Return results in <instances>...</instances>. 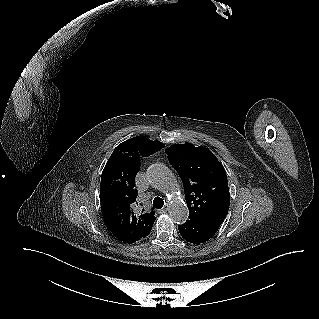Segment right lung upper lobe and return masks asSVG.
I'll return each mask as SVG.
<instances>
[{"label":"right lung upper lobe","instance_id":"1","mask_svg":"<svg viewBox=\"0 0 319 319\" xmlns=\"http://www.w3.org/2000/svg\"><path fill=\"white\" fill-rule=\"evenodd\" d=\"M163 147L159 141L131 138L115 148L105 165L100 184L102 216L112 234L122 242L134 243L152 229L155 212H137L135 177L140 159Z\"/></svg>","mask_w":319,"mask_h":319}]
</instances>
